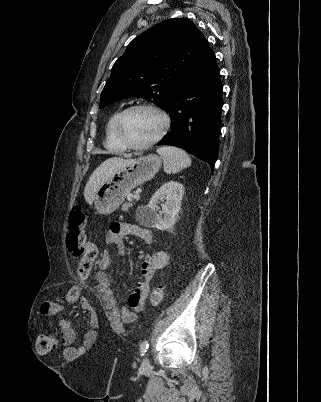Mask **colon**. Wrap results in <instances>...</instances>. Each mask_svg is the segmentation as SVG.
Instances as JSON below:
<instances>
[{
	"mask_svg": "<svg viewBox=\"0 0 321 402\" xmlns=\"http://www.w3.org/2000/svg\"><path fill=\"white\" fill-rule=\"evenodd\" d=\"M86 214L82 207L77 206L68 216V233L66 235V247L68 251L77 259V275L80 282L86 280L97 256V247L93 242L87 240L86 236ZM84 293L83 285H72L68 291L66 299L69 303L77 301L79 294ZM164 287H155L150 294V303L154 306L161 303L164 297ZM145 300L139 299L131 303L135 309L144 306ZM59 344L57 333L46 332L38 337L37 350L40 353H50L54 351Z\"/></svg>",
	"mask_w": 321,
	"mask_h": 402,
	"instance_id": "1",
	"label": "colon"
}]
</instances>
